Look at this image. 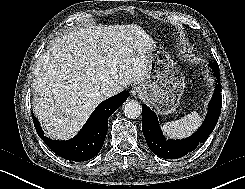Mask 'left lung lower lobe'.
Listing matches in <instances>:
<instances>
[{"label": "left lung lower lobe", "instance_id": "0a47b994", "mask_svg": "<svg viewBox=\"0 0 245 189\" xmlns=\"http://www.w3.org/2000/svg\"><path fill=\"white\" fill-rule=\"evenodd\" d=\"M217 84L209 103L208 113L202 126L190 137L181 140H166L160 129L156 114L146 105H142V131L150 150L157 156L166 159H176L187 155L205 142L214 130L219 119L222 98L219 66L215 61L210 63Z\"/></svg>", "mask_w": 245, "mask_h": 189}]
</instances>
